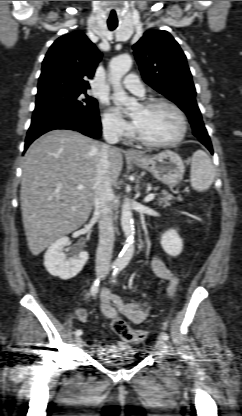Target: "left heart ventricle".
Returning <instances> with one entry per match:
<instances>
[{"label":"left heart ventricle","instance_id":"1","mask_svg":"<svg viewBox=\"0 0 242 416\" xmlns=\"http://www.w3.org/2000/svg\"><path fill=\"white\" fill-rule=\"evenodd\" d=\"M132 118L137 131L152 141L170 140L180 131L178 116L166 106L152 109L140 107L133 113Z\"/></svg>","mask_w":242,"mask_h":416}]
</instances>
